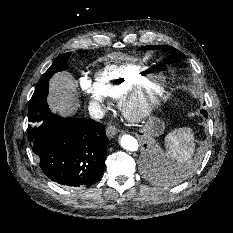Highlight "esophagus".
Here are the masks:
<instances>
[{"label":"esophagus","instance_id":"1","mask_svg":"<svg viewBox=\"0 0 233 233\" xmlns=\"http://www.w3.org/2000/svg\"><path fill=\"white\" fill-rule=\"evenodd\" d=\"M117 133V128L112 125V124H109L107 125L106 127V135L108 136V138H113Z\"/></svg>","mask_w":233,"mask_h":233}]
</instances>
